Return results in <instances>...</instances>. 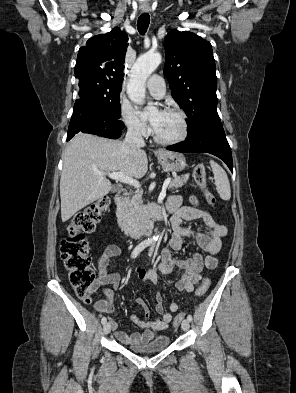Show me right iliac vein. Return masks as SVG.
Returning <instances> with one entry per match:
<instances>
[{
    "mask_svg": "<svg viewBox=\"0 0 296 393\" xmlns=\"http://www.w3.org/2000/svg\"><path fill=\"white\" fill-rule=\"evenodd\" d=\"M103 331H104V334H109V333H110V331H111V325H110L109 322H106V323L103 325Z\"/></svg>",
    "mask_w": 296,
    "mask_h": 393,
    "instance_id": "63e3f726",
    "label": "right iliac vein"
}]
</instances>
